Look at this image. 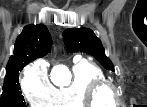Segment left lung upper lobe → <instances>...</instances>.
Segmentation results:
<instances>
[{"mask_svg": "<svg viewBox=\"0 0 147 107\" xmlns=\"http://www.w3.org/2000/svg\"><path fill=\"white\" fill-rule=\"evenodd\" d=\"M67 51H81L95 57L107 70L114 71L111 60L105 55L100 39L88 28H69L63 32Z\"/></svg>", "mask_w": 147, "mask_h": 107, "instance_id": "5c2ea615", "label": "left lung upper lobe"}]
</instances>
